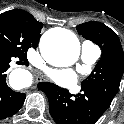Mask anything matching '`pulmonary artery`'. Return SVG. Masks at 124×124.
I'll use <instances>...</instances> for the list:
<instances>
[{"mask_svg": "<svg viewBox=\"0 0 124 124\" xmlns=\"http://www.w3.org/2000/svg\"><path fill=\"white\" fill-rule=\"evenodd\" d=\"M101 55V49L92 42H83L81 45V59L86 64H94Z\"/></svg>", "mask_w": 124, "mask_h": 124, "instance_id": "e3ab8cb5", "label": "pulmonary artery"}]
</instances>
